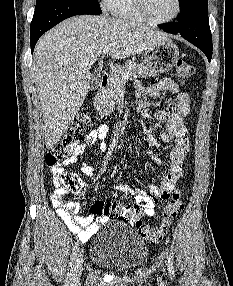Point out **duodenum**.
<instances>
[{
	"mask_svg": "<svg viewBox=\"0 0 233 286\" xmlns=\"http://www.w3.org/2000/svg\"><path fill=\"white\" fill-rule=\"evenodd\" d=\"M109 84V75L107 73H104L99 82V89H105Z\"/></svg>",
	"mask_w": 233,
	"mask_h": 286,
	"instance_id": "duodenum-1",
	"label": "duodenum"
}]
</instances>
